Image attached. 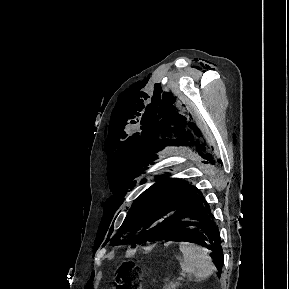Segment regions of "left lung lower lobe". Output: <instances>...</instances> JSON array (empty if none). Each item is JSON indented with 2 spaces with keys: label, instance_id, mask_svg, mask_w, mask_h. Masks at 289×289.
Returning a JSON list of instances; mask_svg holds the SVG:
<instances>
[{
  "label": "left lung lower lobe",
  "instance_id": "1",
  "mask_svg": "<svg viewBox=\"0 0 289 289\" xmlns=\"http://www.w3.org/2000/svg\"><path fill=\"white\" fill-rule=\"evenodd\" d=\"M166 222L154 240L173 237L193 238V242L213 251L218 260L216 267L222 271V247L218 226L213 221L209 204L202 193L190 185L180 190L168 205Z\"/></svg>",
  "mask_w": 289,
  "mask_h": 289
}]
</instances>
